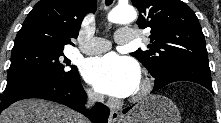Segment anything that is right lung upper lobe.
Here are the masks:
<instances>
[{"label":"right lung upper lobe","mask_w":221,"mask_h":123,"mask_svg":"<svg viewBox=\"0 0 221 123\" xmlns=\"http://www.w3.org/2000/svg\"><path fill=\"white\" fill-rule=\"evenodd\" d=\"M96 10V0H40L18 31L12 52L42 48L63 50L77 38L85 15Z\"/></svg>","instance_id":"1"}]
</instances>
